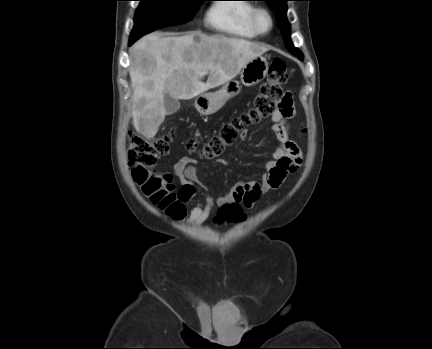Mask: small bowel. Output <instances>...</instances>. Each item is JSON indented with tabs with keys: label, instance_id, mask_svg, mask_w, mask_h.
Returning a JSON list of instances; mask_svg holds the SVG:
<instances>
[{
	"label": "small bowel",
	"instance_id": "1",
	"mask_svg": "<svg viewBox=\"0 0 432 349\" xmlns=\"http://www.w3.org/2000/svg\"><path fill=\"white\" fill-rule=\"evenodd\" d=\"M294 114L291 107L289 113L276 112L271 116V130L278 142V146L271 153V158L265 164V173L258 181L239 182L231 191L216 200L208 193L200 190L202 183L197 174L196 159L190 156L181 157L173 167L174 176L181 185L179 199L182 203L191 202L198 194L203 197L191 209L187 222L193 225L202 224L210 215L215 204L225 206L229 204H243L251 207L261 195L279 188L287 175L296 172L302 164V152L298 144L291 138L288 119ZM245 138V134L241 135ZM217 162L223 163L218 160Z\"/></svg>",
	"mask_w": 432,
	"mask_h": 349
}]
</instances>
